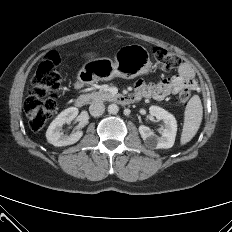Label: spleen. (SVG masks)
Wrapping results in <instances>:
<instances>
[{"label": "spleen", "mask_w": 232, "mask_h": 232, "mask_svg": "<svg viewBox=\"0 0 232 232\" xmlns=\"http://www.w3.org/2000/svg\"><path fill=\"white\" fill-rule=\"evenodd\" d=\"M203 115V107L198 95H194L187 103L184 113V125L181 134V145L188 143L197 133Z\"/></svg>", "instance_id": "1"}]
</instances>
